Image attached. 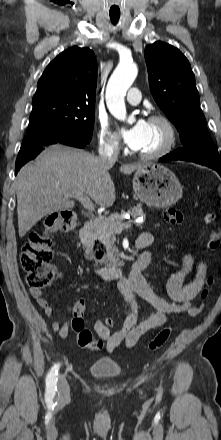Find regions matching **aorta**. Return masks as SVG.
I'll return each mask as SVG.
<instances>
[{
	"mask_svg": "<svg viewBox=\"0 0 221 440\" xmlns=\"http://www.w3.org/2000/svg\"><path fill=\"white\" fill-rule=\"evenodd\" d=\"M138 73L133 63H120L111 75L106 88V104L110 113L118 120L126 119L124 97Z\"/></svg>",
	"mask_w": 221,
	"mask_h": 440,
	"instance_id": "aorta-1",
	"label": "aorta"
}]
</instances>
